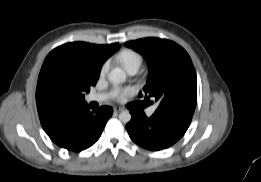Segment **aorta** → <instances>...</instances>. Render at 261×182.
I'll list each match as a JSON object with an SVG mask.
<instances>
[{"instance_id":"obj_1","label":"aorta","mask_w":261,"mask_h":182,"mask_svg":"<svg viewBox=\"0 0 261 182\" xmlns=\"http://www.w3.org/2000/svg\"><path fill=\"white\" fill-rule=\"evenodd\" d=\"M108 80L113 84H120L126 80V73L121 68H114L108 73ZM119 120L122 123H128L131 120V114L125 110L119 114Z\"/></svg>"}]
</instances>
